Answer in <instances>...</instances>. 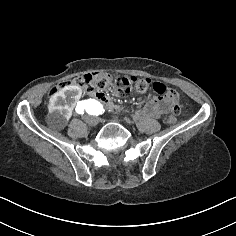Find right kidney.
Masks as SVG:
<instances>
[{
  "label": "right kidney",
  "instance_id": "obj_1",
  "mask_svg": "<svg viewBox=\"0 0 236 236\" xmlns=\"http://www.w3.org/2000/svg\"><path fill=\"white\" fill-rule=\"evenodd\" d=\"M68 91H72L68 92ZM82 94L80 86H66L55 93L51 100V111H49V120L56 131H63L68 124L72 111L70 107L75 100H79Z\"/></svg>",
  "mask_w": 236,
  "mask_h": 236
}]
</instances>
